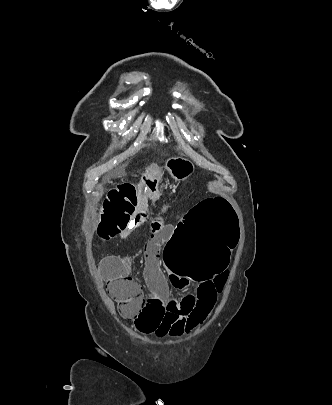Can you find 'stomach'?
<instances>
[{
  "instance_id": "0dacf381",
  "label": "stomach",
  "mask_w": 332,
  "mask_h": 405,
  "mask_svg": "<svg viewBox=\"0 0 332 405\" xmlns=\"http://www.w3.org/2000/svg\"><path fill=\"white\" fill-rule=\"evenodd\" d=\"M165 168L170 172L174 180L181 181L189 177L194 171V165L188 159L182 157L169 158Z\"/></svg>"
}]
</instances>
